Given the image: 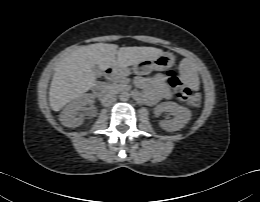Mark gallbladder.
<instances>
[{
    "label": "gallbladder",
    "mask_w": 260,
    "mask_h": 202,
    "mask_svg": "<svg viewBox=\"0 0 260 202\" xmlns=\"http://www.w3.org/2000/svg\"><path fill=\"white\" fill-rule=\"evenodd\" d=\"M92 71L96 77H100L103 74L102 70L97 65L92 67Z\"/></svg>",
    "instance_id": "gallbladder-1"
}]
</instances>
